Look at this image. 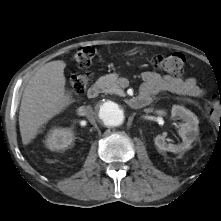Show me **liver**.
I'll list each match as a JSON object with an SVG mask.
<instances>
[{
    "mask_svg": "<svg viewBox=\"0 0 221 221\" xmlns=\"http://www.w3.org/2000/svg\"><path fill=\"white\" fill-rule=\"evenodd\" d=\"M62 60L51 61L38 69L26 85L19 111V127L24 145L29 144L39 128L62 112L71 102L65 90Z\"/></svg>",
    "mask_w": 221,
    "mask_h": 221,
    "instance_id": "1",
    "label": "liver"
}]
</instances>
